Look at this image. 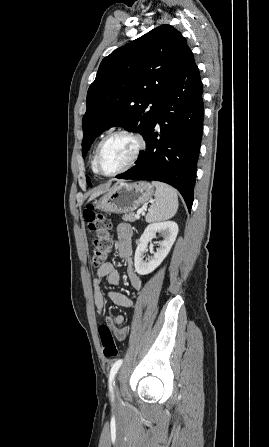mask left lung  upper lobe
Listing matches in <instances>:
<instances>
[{
	"label": "left lung upper lobe",
	"instance_id": "1",
	"mask_svg": "<svg viewBox=\"0 0 269 447\" xmlns=\"http://www.w3.org/2000/svg\"><path fill=\"white\" fill-rule=\"evenodd\" d=\"M188 49L179 31L162 25L102 60L82 119L84 158L95 138L113 126L145 138ZM87 182L91 186L90 179Z\"/></svg>",
	"mask_w": 269,
	"mask_h": 447
}]
</instances>
